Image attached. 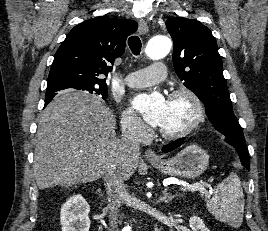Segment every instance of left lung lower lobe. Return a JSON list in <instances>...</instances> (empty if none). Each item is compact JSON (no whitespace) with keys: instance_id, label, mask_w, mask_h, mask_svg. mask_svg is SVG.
Here are the masks:
<instances>
[{"instance_id":"1","label":"left lung lower lobe","mask_w":268,"mask_h":231,"mask_svg":"<svg viewBox=\"0 0 268 231\" xmlns=\"http://www.w3.org/2000/svg\"><path fill=\"white\" fill-rule=\"evenodd\" d=\"M184 139L185 138H181V139H178L174 142L169 143L168 145H166L162 148V151L163 152H170V151L176 149L177 147L182 145ZM235 149L239 154L242 165L247 170H250V159L248 156L247 147L246 148L245 147H236Z\"/></svg>"}]
</instances>
